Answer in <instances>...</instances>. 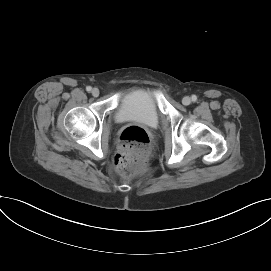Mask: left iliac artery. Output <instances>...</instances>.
I'll return each instance as SVG.
<instances>
[{
  "label": "left iliac artery",
  "instance_id": "left-iliac-artery-1",
  "mask_svg": "<svg viewBox=\"0 0 271 271\" xmlns=\"http://www.w3.org/2000/svg\"><path fill=\"white\" fill-rule=\"evenodd\" d=\"M192 101H196L197 100V97L195 95H192Z\"/></svg>",
  "mask_w": 271,
  "mask_h": 271
}]
</instances>
